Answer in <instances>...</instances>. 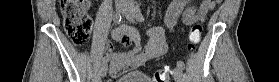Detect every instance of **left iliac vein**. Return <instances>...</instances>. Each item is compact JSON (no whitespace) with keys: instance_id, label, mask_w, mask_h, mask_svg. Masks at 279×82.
Instances as JSON below:
<instances>
[{"instance_id":"4c4485c4","label":"left iliac vein","mask_w":279,"mask_h":82,"mask_svg":"<svg viewBox=\"0 0 279 82\" xmlns=\"http://www.w3.org/2000/svg\"><path fill=\"white\" fill-rule=\"evenodd\" d=\"M124 16L129 22L135 21V9L132 6H128L124 11ZM173 77L176 82H184L183 71L176 67L173 69Z\"/></svg>"}]
</instances>
